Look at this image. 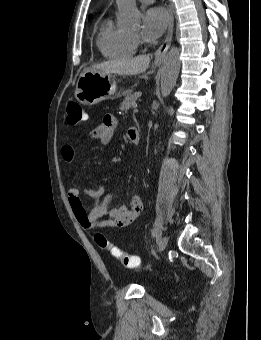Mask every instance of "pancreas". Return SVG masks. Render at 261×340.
<instances>
[{"instance_id":"cf45deb5","label":"pancreas","mask_w":261,"mask_h":340,"mask_svg":"<svg viewBox=\"0 0 261 340\" xmlns=\"http://www.w3.org/2000/svg\"><path fill=\"white\" fill-rule=\"evenodd\" d=\"M122 94L125 96L119 108L122 111H127L129 108L133 107L136 104V100L141 96L140 93L132 94L130 90H126Z\"/></svg>"}]
</instances>
